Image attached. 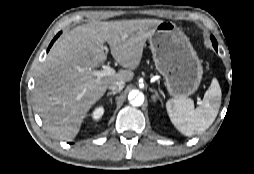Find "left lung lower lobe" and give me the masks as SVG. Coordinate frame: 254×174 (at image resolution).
<instances>
[{
  "instance_id": "1",
  "label": "left lung lower lobe",
  "mask_w": 254,
  "mask_h": 174,
  "mask_svg": "<svg viewBox=\"0 0 254 174\" xmlns=\"http://www.w3.org/2000/svg\"><path fill=\"white\" fill-rule=\"evenodd\" d=\"M214 48L217 50V46L214 45Z\"/></svg>"
}]
</instances>
